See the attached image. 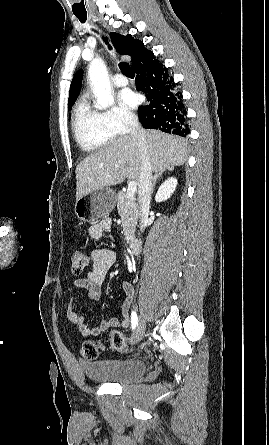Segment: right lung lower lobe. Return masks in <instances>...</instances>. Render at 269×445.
Returning a JSON list of instances; mask_svg holds the SVG:
<instances>
[{
	"label": "right lung lower lobe",
	"instance_id": "98d812e1",
	"mask_svg": "<svg viewBox=\"0 0 269 445\" xmlns=\"http://www.w3.org/2000/svg\"><path fill=\"white\" fill-rule=\"evenodd\" d=\"M134 72L137 90L144 92L149 101L138 108L142 126L186 137L190 133L185 123L187 111L182 94L176 89L167 68L153 57L139 65Z\"/></svg>",
	"mask_w": 269,
	"mask_h": 445
}]
</instances>
